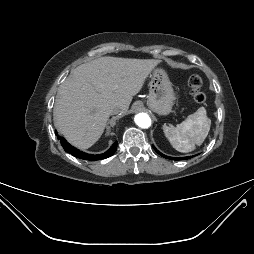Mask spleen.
<instances>
[{"mask_svg": "<svg viewBox=\"0 0 254 254\" xmlns=\"http://www.w3.org/2000/svg\"><path fill=\"white\" fill-rule=\"evenodd\" d=\"M211 126V120L206 115L204 107L189 115L177 126H163L166 138L173 148L179 152L187 153L200 146L206 139Z\"/></svg>", "mask_w": 254, "mask_h": 254, "instance_id": "1", "label": "spleen"}]
</instances>
